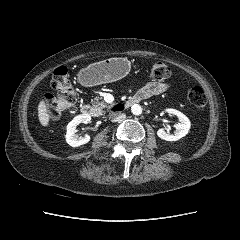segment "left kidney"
Listing matches in <instances>:
<instances>
[{
	"label": "left kidney",
	"instance_id": "5707ae66",
	"mask_svg": "<svg viewBox=\"0 0 240 240\" xmlns=\"http://www.w3.org/2000/svg\"><path fill=\"white\" fill-rule=\"evenodd\" d=\"M166 112L168 114L177 116L179 123L175 124V128H176L175 134H169L164 129H159L157 131L158 137L166 141H177L182 137L186 136L191 127V123L188 117L183 113H181L180 111L172 108L166 109Z\"/></svg>",
	"mask_w": 240,
	"mask_h": 240
}]
</instances>
